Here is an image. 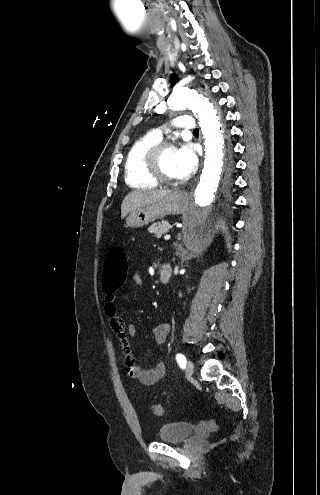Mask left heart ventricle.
Instances as JSON below:
<instances>
[{
    "label": "left heart ventricle",
    "mask_w": 320,
    "mask_h": 495,
    "mask_svg": "<svg viewBox=\"0 0 320 495\" xmlns=\"http://www.w3.org/2000/svg\"><path fill=\"white\" fill-rule=\"evenodd\" d=\"M162 171L169 177L179 178L176 167V148H167L161 156Z\"/></svg>",
    "instance_id": "left-heart-ventricle-1"
}]
</instances>
